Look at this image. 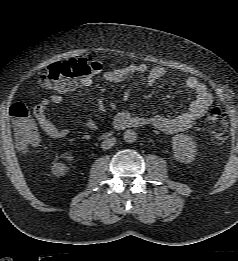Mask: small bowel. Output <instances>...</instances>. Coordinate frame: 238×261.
I'll return each instance as SVG.
<instances>
[{
    "label": "small bowel",
    "mask_w": 238,
    "mask_h": 261,
    "mask_svg": "<svg viewBox=\"0 0 238 261\" xmlns=\"http://www.w3.org/2000/svg\"><path fill=\"white\" fill-rule=\"evenodd\" d=\"M137 74H145L146 84L152 86L165 76L166 71L162 66L149 67L144 63H132L124 67L106 70L103 72L102 77L107 84H114L128 80ZM91 84V77L83 78L77 81L68 91L77 87H89ZM184 85L193 92L194 97L182 113L174 117L161 115L143 117L122 111L114 118L115 127L117 129H125L150 126L166 134H175L188 130L206 114L213 102V96L207 86L193 76L186 77ZM65 92L67 91H56L49 98L42 99L34 108V115L39 127L48 137L53 139L64 138L70 132L66 127H57L46 115L47 107L50 104H60L63 101ZM82 127L94 131L97 129V124L94 120L89 119L82 123Z\"/></svg>",
    "instance_id": "obj_1"
}]
</instances>
